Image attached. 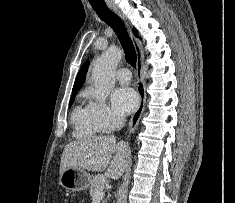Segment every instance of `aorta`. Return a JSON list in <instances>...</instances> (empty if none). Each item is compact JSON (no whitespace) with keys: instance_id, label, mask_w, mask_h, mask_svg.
Instances as JSON below:
<instances>
[{"instance_id":"aorta-1","label":"aorta","mask_w":235,"mask_h":203,"mask_svg":"<svg viewBox=\"0 0 235 203\" xmlns=\"http://www.w3.org/2000/svg\"><path fill=\"white\" fill-rule=\"evenodd\" d=\"M122 54L120 48L110 46L94 63L92 69L93 96L100 102H104L114 88V74Z\"/></svg>"}]
</instances>
